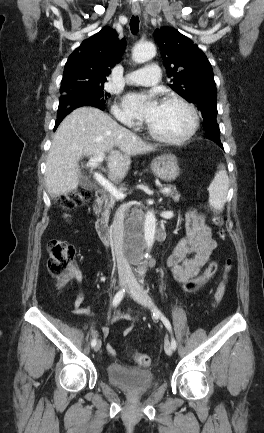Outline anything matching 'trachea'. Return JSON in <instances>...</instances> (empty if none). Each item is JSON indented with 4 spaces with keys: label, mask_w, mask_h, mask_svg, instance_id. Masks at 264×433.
<instances>
[{
    "label": "trachea",
    "mask_w": 264,
    "mask_h": 433,
    "mask_svg": "<svg viewBox=\"0 0 264 433\" xmlns=\"http://www.w3.org/2000/svg\"><path fill=\"white\" fill-rule=\"evenodd\" d=\"M139 28V17L132 16L130 20V29L133 34H136Z\"/></svg>",
    "instance_id": "obj_1"
}]
</instances>
